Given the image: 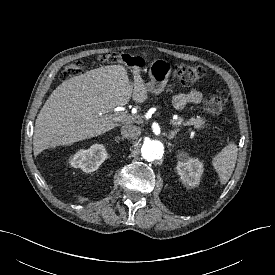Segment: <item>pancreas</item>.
Returning a JSON list of instances; mask_svg holds the SVG:
<instances>
[{
    "label": "pancreas",
    "mask_w": 275,
    "mask_h": 275,
    "mask_svg": "<svg viewBox=\"0 0 275 275\" xmlns=\"http://www.w3.org/2000/svg\"><path fill=\"white\" fill-rule=\"evenodd\" d=\"M183 121L182 118H179L177 121H173V123H181ZM205 119L201 118V117H197V118H191L189 119L185 124L186 125H192L194 126L195 129L201 130L203 128H205Z\"/></svg>",
    "instance_id": "1"
}]
</instances>
